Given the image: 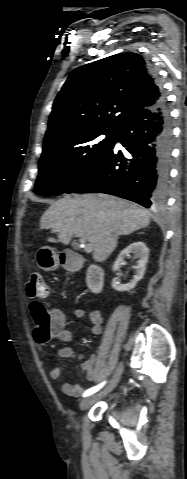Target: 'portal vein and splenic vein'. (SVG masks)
<instances>
[{
  "mask_svg": "<svg viewBox=\"0 0 187 479\" xmlns=\"http://www.w3.org/2000/svg\"><path fill=\"white\" fill-rule=\"evenodd\" d=\"M81 243L83 244L86 252H91L93 250L92 245L90 243H86L85 240H81Z\"/></svg>",
  "mask_w": 187,
  "mask_h": 479,
  "instance_id": "portal-vein-and-splenic-vein-1",
  "label": "portal vein and splenic vein"
}]
</instances>
